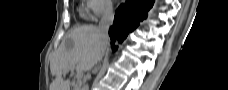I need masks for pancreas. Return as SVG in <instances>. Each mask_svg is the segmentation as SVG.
I'll list each match as a JSON object with an SVG mask.
<instances>
[{
	"label": "pancreas",
	"mask_w": 228,
	"mask_h": 90,
	"mask_svg": "<svg viewBox=\"0 0 228 90\" xmlns=\"http://www.w3.org/2000/svg\"><path fill=\"white\" fill-rule=\"evenodd\" d=\"M75 90H81V80H78L75 85Z\"/></svg>",
	"instance_id": "1"
}]
</instances>
